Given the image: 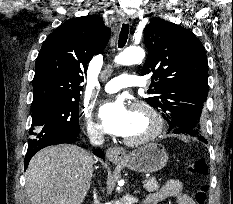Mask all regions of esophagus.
<instances>
[{"mask_svg":"<svg viewBox=\"0 0 233 204\" xmlns=\"http://www.w3.org/2000/svg\"><path fill=\"white\" fill-rule=\"evenodd\" d=\"M124 22L129 25H132L133 18L131 16H126L124 17ZM106 156L110 161L118 162L125 158L126 150L122 147H111L107 149Z\"/></svg>","mask_w":233,"mask_h":204,"instance_id":"1","label":"esophagus"}]
</instances>
